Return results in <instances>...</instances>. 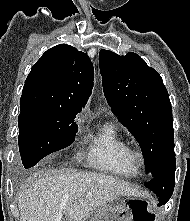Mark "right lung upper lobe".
Masks as SVG:
<instances>
[{
  "label": "right lung upper lobe",
  "instance_id": "obj_1",
  "mask_svg": "<svg viewBox=\"0 0 190 221\" xmlns=\"http://www.w3.org/2000/svg\"><path fill=\"white\" fill-rule=\"evenodd\" d=\"M93 66L84 52L60 44L32 66L20 99V111L35 109L79 113L93 87Z\"/></svg>",
  "mask_w": 190,
  "mask_h": 221
}]
</instances>
